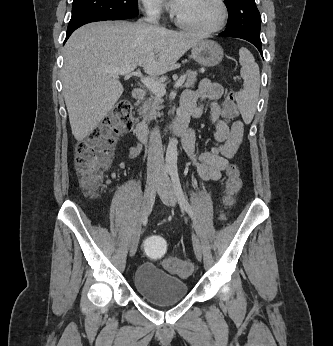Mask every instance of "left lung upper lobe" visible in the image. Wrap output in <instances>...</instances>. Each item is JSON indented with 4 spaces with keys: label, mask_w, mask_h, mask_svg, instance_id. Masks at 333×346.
I'll use <instances>...</instances> for the list:
<instances>
[{
    "label": "left lung upper lobe",
    "mask_w": 333,
    "mask_h": 346,
    "mask_svg": "<svg viewBox=\"0 0 333 346\" xmlns=\"http://www.w3.org/2000/svg\"><path fill=\"white\" fill-rule=\"evenodd\" d=\"M229 19L227 31L260 40L261 16L255 0H225Z\"/></svg>",
    "instance_id": "left-lung-upper-lobe-1"
}]
</instances>
